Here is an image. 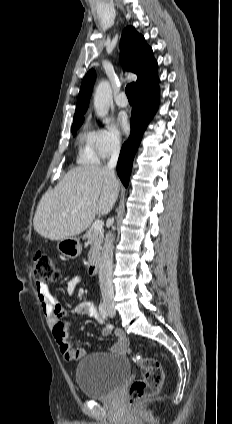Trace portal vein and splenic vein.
Returning a JSON list of instances; mask_svg holds the SVG:
<instances>
[{
    "label": "portal vein and splenic vein",
    "instance_id": "obj_1",
    "mask_svg": "<svg viewBox=\"0 0 232 424\" xmlns=\"http://www.w3.org/2000/svg\"><path fill=\"white\" fill-rule=\"evenodd\" d=\"M103 225H104V222H103L102 220H96V221L93 223V228H94L95 230H102V229H103Z\"/></svg>",
    "mask_w": 232,
    "mask_h": 424
}]
</instances>
